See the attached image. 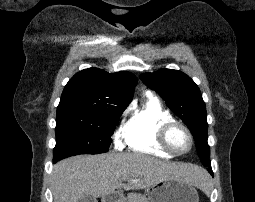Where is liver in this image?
Masks as SVG:
<instances>
[{
  "mask_svg": "<svg viewBox=\"0 0 255 202\" xmlns=\"http://www.w3.org/2000/svg\"><path fill=\"white\" fill-rule=\"evenodd\" d=\"M208 178L200 167L162 161L140 153L79 155L58 162L52 173L54 202H78L117 189H144L165 179H180L202 187ZM127 180L124 184L122 181Z\"/></svg>",
  "mask_w": 255,
  "mask_h": 202,
  "instance_id": "liver-1",
  "label": "liver"
}]
</instances>
